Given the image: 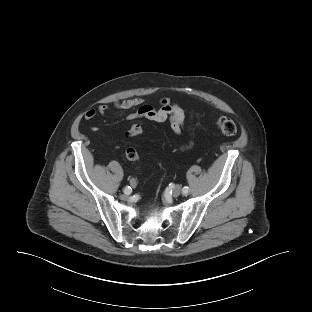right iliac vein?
I'll list each match as a JSON object with an SVG mask.
<instances>
[{
	"mask_svg": "<svg viewBox=\"0 0 312 312\" xmlns=\"http://www.w3.org/2000/svg\"><path fill=\"white\" fill-rule=\"evenodd\" d=\"M130 184H131L132 187H135V186H136V181L132 179V180L130 181Z\"/></svg>",
	"mask_w": 312,
	"mask_h": 312,
	"instance_id": "63e3f726",
	"label": "right iliac vein"
}]
</instances>
